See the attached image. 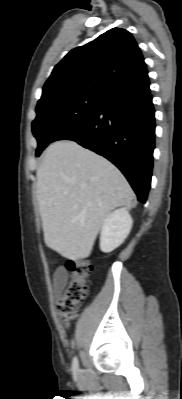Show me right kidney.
Segmentation results:
<instances>
[{"label":"right kidney","mask_w":182,"mask_h":399,"mask_svg":"<svg viewBox=\"0 0 182 399\" xmlns=\"http://www.w3.org/2000/svg\"><path fill=\"white\" fill-rule=\"evenodd\" d=\"M133 220L126 208H120L109 214L102 225L100 249L109 253L120 246L132 228Z\"/></svg>","instance_id":"1"}]
</instances>
